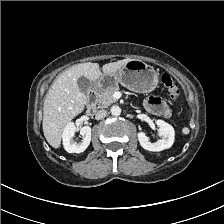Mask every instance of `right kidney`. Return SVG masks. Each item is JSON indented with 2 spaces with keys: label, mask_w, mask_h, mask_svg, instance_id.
I'll return each mask as SVG.
<instances>
[{
  "label": "right kidney",
  "mask_w": 224,
  "mask_h": 224,
  "mask_svg": "<svg viewBox=\"0 0 224 224\" xmlns=\"http://www.w3.org/2000/svg\"><path fill=\"white\" fill-rule=\"evenodd\" d=\"M76 131H80L83 136V140L80 143H76L73 140ZM63 146L68 153H81L84 152L91 141V127L83 126L76 128L73 122H69L63 131Z\"/></svg>",
  "instance_id": "obj_1"
}]
</instances>
